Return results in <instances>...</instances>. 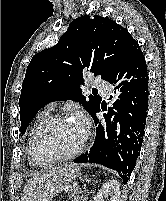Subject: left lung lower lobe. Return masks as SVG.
Listing matches in <instances>:
<instances>
[{"label": "left lung lower lobe", "instance_id": "obj_1", "mask_svg": "<svg viewBox=\"0 0 166 201\" xmlns=\"http://www.w3.org/2000/svg\"><path fill=\"white\" fill-rule=\"evenodd\" d=\"M108 82L122 94L112 108L102 107L107 111L104 125L98 123L96 114L93 116L98 125L94 145L74 162L104 165L117 171L126 184L142 146L148 110L147 66L138 43Z\"/></svg>", "mask_w": 166, "mask_h": 201}]
</instances>
